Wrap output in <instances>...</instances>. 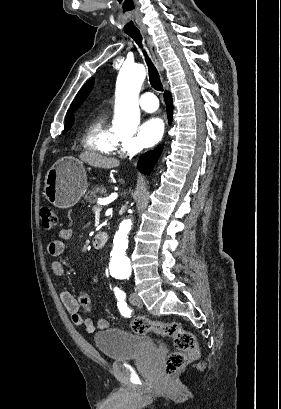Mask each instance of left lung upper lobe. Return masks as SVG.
Here are the masks:
<instances>
[{
    "label": "left lung upper lobe",
    "mask_w": 281,
    "mask_h": 409,
    "mask_svg": "<svg viewBox=\"0 0 281 409\" xmlns=\"http://www.w3.org/2000/svg\"><path fill=\"white\" fill-rule=\"evenodd\" d=\"M93 83H94V79H91L81 88V90L78 92L74 101L71 104L72 109L78 108L80 104L83 103L87 95L90 93Z\"/></svg>",
    "instance_id": "1"
}]
</instances>
